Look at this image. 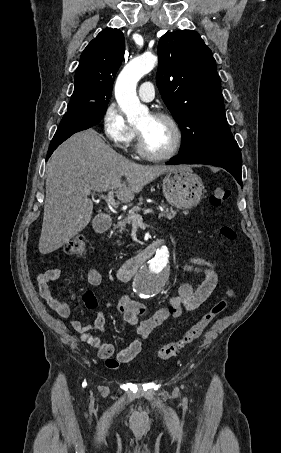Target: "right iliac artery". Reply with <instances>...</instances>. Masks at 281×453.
<instances>
[{
	"instance_id": "82829eb1",
	"label": "right iliac artery",
	"mask_w": 281,
	"mask_h": 453,
	"mask_svg": "<svg viewBox=\"0 0 281 453\" xmlns=\"http://www.w3.org/2000/svg\"><path fill=\"white\" fill-rule=\"evenodd\" d=\"M87 385L86 381L83 382L82 386L85 387Z\"/></svg>"
}]
</instances>
